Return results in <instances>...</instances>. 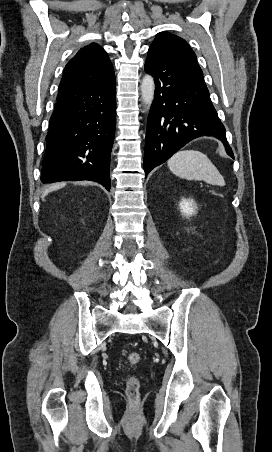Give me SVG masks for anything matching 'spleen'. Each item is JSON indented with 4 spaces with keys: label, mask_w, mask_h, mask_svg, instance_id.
<instances>
[{
    "label": "spleen",
    "mask_w": 272,
    "mask_h": 452,
    "mask_svg": "<svg viewBox=\"0 0 272 452\" xmlns=\"http://www.w3.org/2000/svg\"><path fill=\"white\" fill-rule=\"evenodd\" d=\"M171 172L187 180H203L211 185L224 186L225 181L215 165L202 152L181 150L169 160Z\"/></svg>",
    "instance_id": "3e777b00"
}]
</instances>
